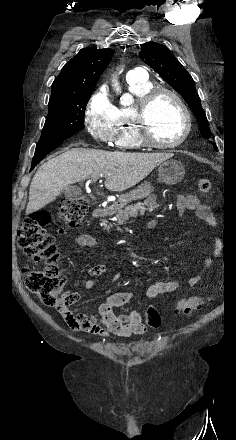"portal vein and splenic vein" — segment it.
<instances>
[{
    "mask_svg": "<svg viewBox=\"0 0 236 440\" xmlns=\"http://www.w3.org/2000/svg\"><path fill=\"white\" fill-rule=\"evenodd\" d=\"M92 181H95V179L88 180V182H92Z\"/></svg>",
    "mask_w": 236,
    "mask_h": 440,
    "instance_id": "1",
    "label": "portal vein and splenic vein"
}]
</instances>
